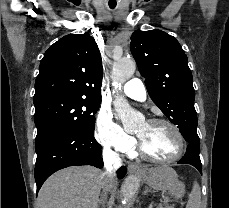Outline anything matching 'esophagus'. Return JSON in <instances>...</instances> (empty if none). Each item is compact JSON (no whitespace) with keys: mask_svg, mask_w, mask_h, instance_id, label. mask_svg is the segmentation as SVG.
Here are the masks:
<instances>
[{"mask_svg":"<svg viewBox=\"0 0 229 208\" xmlns=\"http://www.w3.org/2000/svg\"><path fill=\"white\" fill-rule=\"evenodd\" d=\"M139 169L138 165L131 163L128 165V172L133 173Z\"/></svg>","mask_w":229,"mask_h":208,"instance_id":"1","label":"esophagus"}]
</instances>
